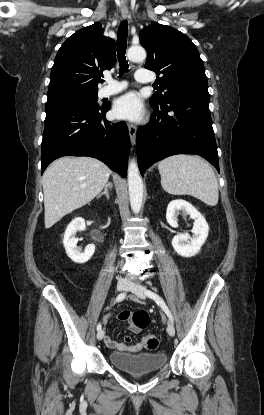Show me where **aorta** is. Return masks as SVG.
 <instances>
[{"label": "aorta", "instance_id": "1", "mask_svg": "<svg viewBox=\"0 0 264 415\" xmlns=\"http://www.w3.org/2000/svg\"><path fill=\"white\" fill-rule=\"evenodd\" d=\"M127 57L133 62H142L146 58V51L141 46H132L129 48ZM128 189L132 211L139 213L143 200V182L135 160H131L128 165Z\"/></svg>", "mask_w": 264, "mask_h": 415}]
</instances>
